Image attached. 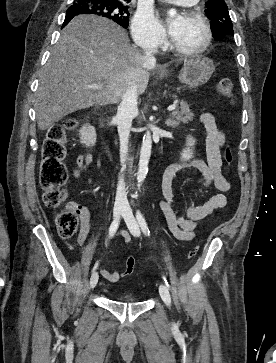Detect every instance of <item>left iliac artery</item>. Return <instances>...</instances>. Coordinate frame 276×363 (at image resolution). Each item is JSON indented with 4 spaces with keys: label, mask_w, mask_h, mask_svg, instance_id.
<instances>
[{
    "label": "left iliac artery",
    "mask_w": 276,
    "mask_h": 363,
    "mask_svg": "<svg viewBox=\"0 0 276 363\" xmlns=\"http://www.w3.org/2000/svg\"><path fill=\"white\" fill-rule=\"evenodd\" d=\"M136 218H137V221H138V223H139V225H140V227H141V229H142L143 233H144L146 236H149V235H150L149 228H148V226H147V223H146V221H145V219H144V217H143L142 213H141L139 210H137V212H136ZM164 281H165L166 285L169 287V284H168V282H167V280H166V278H165V277H164Z\"/></svg>",
    "instance_id": "44dca946"
}]
</instances>
